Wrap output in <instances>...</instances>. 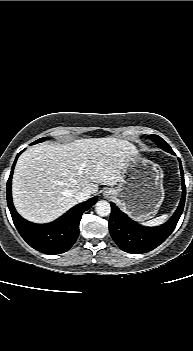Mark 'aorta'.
<instances>
[{
	"label": "aorta",
	"mask_w": 193,
	"mask_h": 351,
	"mask_svg": "<svg viewBox=\"0 0 193 351\" xmlns=\"http://www.w3.org/2000/svg\"><path fill=\"white\" fill-rule=\"evenodd\" d=\"M95 211L101 217L108 216L111 212L110 203L105 200L98 201L95 204Z\"/></svg>",
	"instance_id": "obj_1"
}]
</instances>
